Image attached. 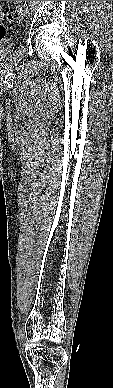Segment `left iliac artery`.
<instances>
[{"label": "left iliac artery", "mask_w": 113, "mask_h": 388, "mask_svg": "<svg viewBox=\"0 0 113 388\" xmlns=\"http://www.w3.org/2000/svg\"><path fill=\"white\" fill-rule=\"evenodd\" d=\"M24 6L26 7V11H27V13H29V11H28V8H27V5H26V3L24 4Z\"/></svg>", "instance_id": "obj_1"}]
</instances>
